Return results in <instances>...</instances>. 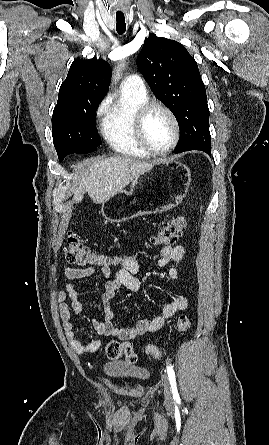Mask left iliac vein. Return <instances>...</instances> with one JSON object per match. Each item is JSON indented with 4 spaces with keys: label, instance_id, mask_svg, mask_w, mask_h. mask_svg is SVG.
I'll return each instance as SVG.
<instances>
[{
    "label": "left iliac vein",
    "instance_id": "obj_1",
    "mask_svg": "<svg viewBox=\"0 0 269 445\" xmlns=\"http://www.w3.org/2000/svg\"><path fill=\"white\" fill-rule=\"evenodd\" d=\"M163 381H164V395H165V398L167 400H171L172 399V388H171V385H170V381H169L167 376L164 377Z\"/></svg>",
    "mask_w": 269,
    "mask_h": 445
}]
</instances>
